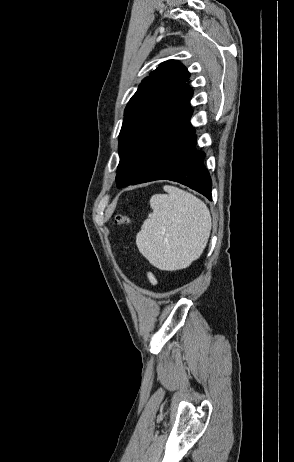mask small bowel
<instances>
[{
    "label": "small bowel",
    "mask_w": 294,
    "mask_h": 462,
    "mask_svg": "<svg viewBox=\"0 0 294 462\" xmlns=\"http://www.w3.org/2000/svg\"><path fill=\"white\" fill-rule=\"evenodd\" d=\"M148 279H149L151 284H153V285L157 284L156 278L151 273L148 274Z\"/></svg>",
    "instance_id": "obj_1"
}]
</instances>
